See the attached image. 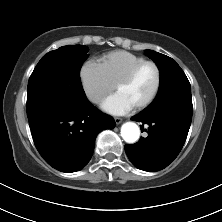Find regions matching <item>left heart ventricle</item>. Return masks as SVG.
Wrapping results in <instances>:
<instances>
[{"label": "left heart ventricle", "instance_id": "b2bd125f", "mask_svg": "<svg viewBox=\"0 0 222 222\" xmlns=\"http://www.w3.org/2000/svg\"><path fill=\"white\" fill-rule=\"evenodd\" d=\"M156 71L151 65L144 66L127 85L116 89L129 100L134 107L144 102L153 92L156 85Z\"/></svg>", "mask_w": 222, "mask_h": 222}]
</instances>
